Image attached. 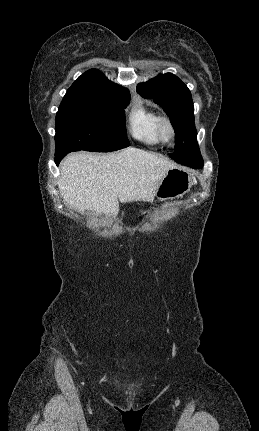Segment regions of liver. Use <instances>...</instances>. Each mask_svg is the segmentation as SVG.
<instances>
[{
	"label": "liver",
	"mask_w": 259,
	"mask_h": 431,
	"mask_svg": "<svg viewBox=\"0 0 259 431\" xmlns=\"http://www.w3.org/2000/svg\"><path fill=\"white\" fill-rule=\"evenodd\" d=\"M169 160L129 147L116 154L76 152L61 164L58 188L64 202L84 212L117 216L119 201L152 202L168 170Z\"/></svg>",
	"instance_id": "6515ba94"
}]
</instances>
